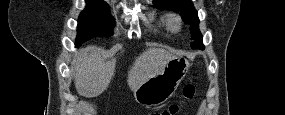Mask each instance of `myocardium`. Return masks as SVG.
I'll list each match as a JSON object with an SVG mask.
<instances>
[{"mask_svg":"<svg viewBox=\"0 0 285 115\" xmlns=\"http://www.w3.org/2000/svg\"><path fill=\"white\" fill-rule=\"evenodd\" d=\"M168 22L169 25L171 27V29L173 30H179L181 27V18L179 15L177 14H172L168 17Z\"/></svg>","mask_w":285,"mask_h":115,"instance_id":"f54148a6","label":"myocardium"}]
</instances>
